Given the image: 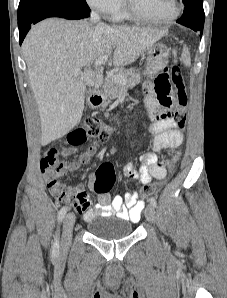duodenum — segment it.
<instances>
[{
  "mask_svg": "<svg viewBox=\"0 0 227 298\" xmlns=\"http://www.w3.org/2000/svg\"><path fill=\"white\" fill-rule=\"evenodd\" d=\"M104 101V96L101 91L95 90L92 92L89 98L90 105L93 107H97L102 104Z\"/></svg>",
  "mask_w": 227,
  "mask_h": 298,
  "instance_id": "410a0bca",
  "label": "duodenum"
}]
</instances>
